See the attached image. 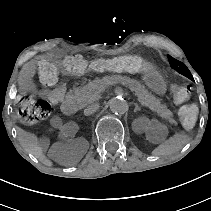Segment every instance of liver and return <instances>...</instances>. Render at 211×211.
I'll return each mask as SVG.
<instances>
[{
	"label": "liver",
	"instance_id": "liver-1",
	"mask_svg": "<svg viewBox=\"0 0 211 211\" xmlns=\"http://www.w3.org/2000/svg\"><path fill=\"white\" fill-rule=\"evenodd\" d=\"M18 139L26 151L32 153L35 157L42 160L46 165H51V162L45 158L42 149L38 146L37 137L34 134L28 133L21 128L17 129Z\"/></svg>",
	"mask_w": 211,
	"mask_h": 211
}]
</instances>
